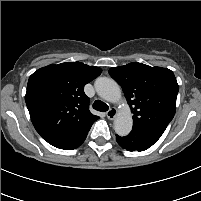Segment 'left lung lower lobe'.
<instances>
[{
    "mask_svg": "<svg viewBox=\"0 0 201 201\" xmlns=\"http://www.w3.org/2000/svg\"><path fill=\"white\" fill-rule=\"evenodd\" d=\"M162 133L154 131L132 130L126 137L116 135L118 144L128 151H143L151 147L161 137Z\"/></svg>",
    "mask_w": 201,
    "mask_h": 201,
    "instance_id": "obj_1",
    "label": "left lung lower lobe"
}]
</instances>
